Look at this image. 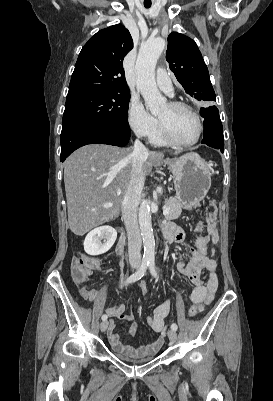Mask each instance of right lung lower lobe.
<instances>
[{
	"mask_svg": "<svg viewBox=\"0 0 273 401\" xmlns=\"http://www.w3.org/2000/svg\"><path fill=\"white\" fill-rule=\"evenodd\" d=\"M129 137L130 129L85 122L72 123L62 127L60 160L63 162L74 150L87 144L125 146Z\"/></svg>",
	"mask_w": 273,
	"mask_h": 401,
	"instance_id": "obj_1",
	"label": "right lung lower lobe"
}]
</instances>
